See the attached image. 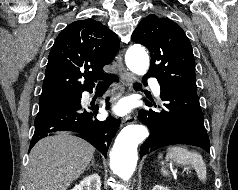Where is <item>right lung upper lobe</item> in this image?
I'll list each match as a JSON object with an SVG mask.
<instances>
[{"label": "right lung upper lobe", "mask_w": 238, "mask_h": 190, "mask_svg": "<svg viewBox=\"0 0 238 190\" xmlns=\"http://www.w3.org/2000/svg\"><path fill=\"white\" fill-rule=\"evenodd\" d=\"M118 50L116 34L102 23L93 19L71 23L51 48L39 102L92 90L96 79L112 76L104 75L103 66L112 62Z\"/></svg>", "instance_id": "right-lung-upper-lobe-1"}]
</instances>
